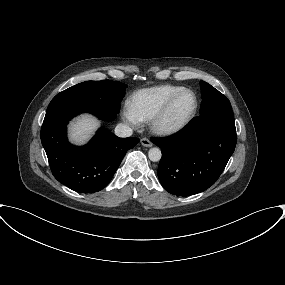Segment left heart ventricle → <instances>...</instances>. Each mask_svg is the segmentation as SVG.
Returning a JSON list of instances; mask_svg holds the SVG:
<instances>
[{
    "label": "left heart ventricle",
    "mask_w": 285,
    "mask_h": 285,
    "mask_svg": "<svg viewBox=\"0 0 285 285\" xmlns=\"http://www.w3.org/2000/svg\"><path fill=\"white\" fill-rule=\"evenodd\" d=\"M193 105L194 98L191 94L182 95L172 107L167 117V122L172 124L180 122L188 115Z\"/></svg>",
    "instance_id": "obj_1"
}]
</instances>
